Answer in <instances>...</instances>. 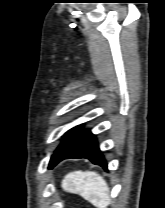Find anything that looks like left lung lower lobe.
<instances>
[{
	"instance_id": "left-lung-lower-lobe-1",
	"label": "left lung lower lobe",
	"mask_w": 165,
	"mask_h": 208,
	"mask_svg": "<svg viewBox=\"0 0 165 208\" xmlns=\"http://www.w3.org/2000/svg\"><path fill=\"white\" fill-rule=\"evenodd\" d=\"M67 158H87L93 164L100 165L107 170V163L99 149L96 137L87 129H81L70 149L61 160Z\"/></svg>"
}]
</instances>
